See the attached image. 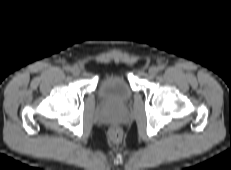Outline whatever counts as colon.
Wrapping results in <instances>:
<instances>
[{
  "mask_svg": "<svg viewBox=\"0 0 231 170\" xmlns=\"http://www.w3.org/2000/svg\"><path fill=\"white\" fill-rule=\"evenodd\" d=\"M122 136V132L118 127H112L109 130V137L113 140V141H119L121 139Z\"/></svg>",
  "mask_w": 231,
  "mask_h": 170,
  "instance_id": "1",
  "label": "colon"
}]
</instances>
